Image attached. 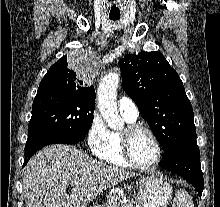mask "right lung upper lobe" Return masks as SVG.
Instances as JSON below:
<instances>
[{"label":"right lung upper lobe","mask_w":220,"mask_h":207,"mask_svg":"<svg viewBox=\"0 0 220 207\" xmlns=\"http://www.w3.org/2000/svg\"><path fill=\"white\" fill-rule=\"evenodd\" d=\"M44 90L74 92L95 98L94 87L84 84L76 73L69 69L67 56H63L50 67L38 88V91Z\"/></svg>","instance_id":"cb5924a9"}]
</instances>
